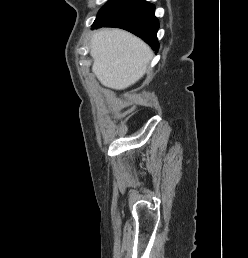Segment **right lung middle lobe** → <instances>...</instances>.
<instances>
[{"label":"right lung middle lobe","mask_w":248,"mask_h":258,"mask_svg":"<svg viewBox=\"0 0 248 258\" xmlns=\"http://www.w3.org/2000/svg\"><path fill=\"white\" fill-rule=\"evenodd\" d=\"M120 0H109L99 11L98 16L96 18L99 19L105 13H107L112 7H114Z\"/></svg>","instance_id":"dd1d6c3e"}]
</instances>
